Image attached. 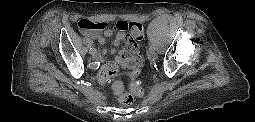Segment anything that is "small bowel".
Listing matches in <instances>:
<instances>
[{"mask_svg": "<svg viewBox=\"0 0 255 122\" xmlns=\"http://www.w3.org/2000/svg\"><path fill=\"white\" fill-rule=\"evenodd\" d=\"M113 33L114 31L95 32L86 34V36L90 39H95L100 45H104L106 42V37L113 35ZM124 40H126L127 49H121L118 55L115 57L114 61L111 63L117 65L118 67L129 69L141 67L143 63V58L140 43L136 39L132 37H127L125 32L120 31L117 34L115 40L113 41V45L117 47ZM111 52L115 53V49H112ZM106 53L107 50L103 49V54Z\"/></svg>", "mask_w": 255, "mask_h": 122, "instance_id": "obj_1", "label": "small bowel"}]
</instances>
